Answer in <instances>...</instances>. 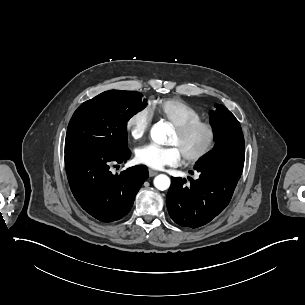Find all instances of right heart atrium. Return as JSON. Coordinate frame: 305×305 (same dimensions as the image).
Here are the masks:
<instances>
[{
  "instance_id": "obj_1",
  "label": "right heart atrium",
  "mask_w": 305,
  "mask_h": 305,
  "mask_svg": "<svg viewBox=\"0 0 305 305\" xmlns=\"http://www.w3.org/2000/svg\"><path fill=\"white\" fill-rule=\"evenodd\" d=\"M152 122V114L148 107H142L133 112L126 121V129L133 140H140L147 132Z\"/></svg>"
}]
</instances>
